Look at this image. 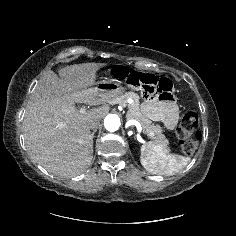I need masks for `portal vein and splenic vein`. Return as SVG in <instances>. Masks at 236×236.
<instances>
[{"mask_svg":"<svg viewBox=\"0 0 236 236\" xmlns=\"http://www.w3.org/2000/svg\"><path fill=\"white\" fill-rule=\"evenodd\" d=\"M80 113H84L85 112V109L84 108H80L79 110ZM140 126V125H139Z\"/></svg>","mask_w":236,"mask_h":236,"instance_id":"18ae733b","label":"portal vein and splenic vein"}]
</instances>
